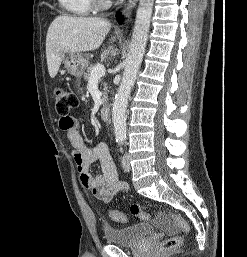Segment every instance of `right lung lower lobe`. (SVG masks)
I'll use <instances>...</instances> for the list:
<instances>
[{"label":"right lung lower lobe","instance_id":"right-lung-lower-lobe-1","mask_svg":"<svg viewBox=\"0 0 247 257\" xmlns=\"http://www.w3.org/2000/svg\"><path fill=\"white\" fill-rule=\"evenodd\" d=\"M116 18H117L118 22L122 21V17L120 16V13H117Z\"/></svg>","mask_w":247,"mask_h":257}]
</instances>
